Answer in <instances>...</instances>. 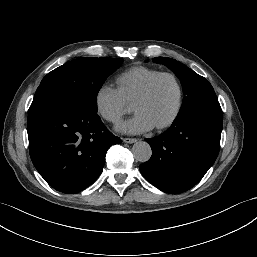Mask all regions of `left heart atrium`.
Here are the masks:
<instances>
[{
  "label": "left heart atrium",
  "instance_id": "left-heart-atrium-1",
  "mask_svg": "<svg viewBox=\"0 0 257 257\" xmlns=\"http://www.w3.org/2000/svg\"><path fill=\"white\" fill-rule=\"evenodd\" d=\"M154 124L142 113H136L132 118L120 123L117 130L127 134H137L153 129Z\"/></svg>",
  "mask_w": 257,
  "mask_h": 257
}]
</instances>
